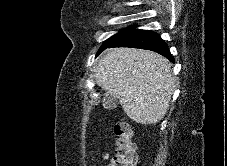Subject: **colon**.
Returning <instances> with one entry per match:
<instances>
[{"instance_id": "1", "label": "colon", "mask_w": 227, "mask_h": 166, "mask_svg": "<svg viewBox=\"0 0 227 166\" xmlns=\"http://www.w3.org/2000/svg\"><path fill=\"white\" fill-rule=\"evenodd\" d=\"M116 148L109 166H134L136 163L133 130L126 121H119L114 126Z\"/></svg>"}]
</instances>
